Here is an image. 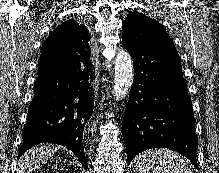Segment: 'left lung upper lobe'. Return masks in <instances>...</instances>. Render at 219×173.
Masks as SVG:
<instances>
[{"label": "left lung upper lobe", "mask_w": 219, "mask_h": 173, "mask_svg": "<svg viewBox=\"0 0 219 173\" xmlns=\"http://www.w3.org/2000/svg\"><path fill=\"white\" fill-rule=\"evenodd\" d=\"M122 41L131 45H149L160 49H176L159 22L133 11L122 23Z\"/></svg>", "instance_id": "left-lung-upper-lobe-1"}]
</instances>
